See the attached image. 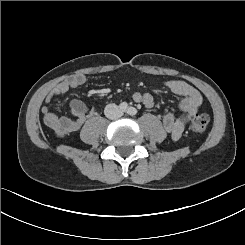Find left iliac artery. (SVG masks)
I'll use <instances>...</instances> for the list:
<instances>
[{
  "mask_svg": "<svg viewBox=\"0 0 245 245\" xmlns=\"http://www.w3.org/2000/svg\"><path fill=\"white\" fill-rule=\"evenodd\" d=\"M137 112H138L137 109L134 108V107H129L128 110H127V113H128L129 115H131V116L136 115Z\"/></svg>",
  "mask_w": 245,
  "mask_h": 245,
  "instance_id": "44dca946",
  "label": "left iliac artery"
}]
</instances>
